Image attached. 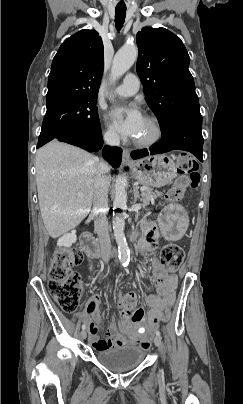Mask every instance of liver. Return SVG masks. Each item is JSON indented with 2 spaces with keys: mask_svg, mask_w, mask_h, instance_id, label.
<instances>
[{
  "mask_svg": "<svg viewBox=\"0 0 243 404\" xmlns=\"http://www.w3.org/2000/svg\"><path fill=\"white\" fill-rule=\"evenodd\" d=\"M99 158L63 144L49 142L36 154V184L40 212L51 238H59L89 214ZM81 192L82 196H78Z\"/></svg>",
  "mask_w": 243,
  "mask_h": 404,
  "instance_id": "liver-1",
  "label": "liver"
}]
</instances>
